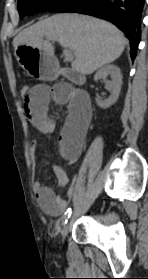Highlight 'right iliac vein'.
I'll return each instance as SVG.
<instances>
[{
    "label": "right iliac vein",
    "instance_id": "obj_1",
    "mask_svg": "<svg viewBox=\"0 0 148 279\" xmlns=\"http://www.w3.org/2000/svg\"><path fill=\"white\" fill-rule=\"evenodd\" d=\"M72 222H73V218H71L69 221H68V223L65 225V227L63 228V230H62V238H63V240L66 238V236L68 235V233H69V230H70V228H71V226H72Z\"/></svg>",
    "mask_w": 148,
    "mask_h": 279
}]
</instances>
